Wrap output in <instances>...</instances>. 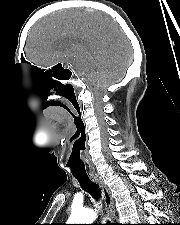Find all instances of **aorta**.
<instances>
[{
  "label": "aorta",
  "instance_id": "762f6f07",
  "mask_svg": "<svg viewBox=\"0 0 180 225\" xmlns=\"http://www.w3.org/2000/svg\"><path fill=\"white\" fill-rule=\"evenodd\" d=\"M97 218V214L94 210L84 208L80 210H73L69 219L68 224H92Z\"/></svg>",
  "mask_w": 180,
  "mask_h": 225
}]
</instances>
